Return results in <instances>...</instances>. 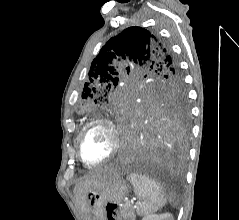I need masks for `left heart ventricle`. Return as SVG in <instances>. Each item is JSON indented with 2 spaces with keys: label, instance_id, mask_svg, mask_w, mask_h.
<instances>
[{
  "label": "left heart ventricle",
  "instance_id": "obj_1",
  "mask_svg": "<svg viewBox=\"0 0 239 220\" xmlns=\"http://www.w3.org/2000/svg\"><path fill=\"white\" fill-rule=\"evenodd\" d=\"M112 142V135L106 127L95 126L83 138L82 154L87 161H99L109 154Z\"/></svg>",
  "mask_w": 239,
  "mask_h": 220
}]
</instances>
